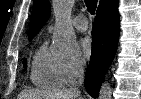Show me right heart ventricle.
<instances>
[{
  "instance_id": "obj_1",
  "label": "right heart ventricle",
  "mask_w": 141,
  "mask_h": 99,
  "mask_svg": "<svg viewBox=\"0 0 141 99\" xmlns=\"http://www.w3.org/2000/svg\"><path fill=\"white\" fill-rule=\"evenodd\" d=\"M63 60L49 50L47 42L42 43L32 59L30 79L33 85L42 89L62 87L65 84Z\"/></svg>"
}]
</instances>
